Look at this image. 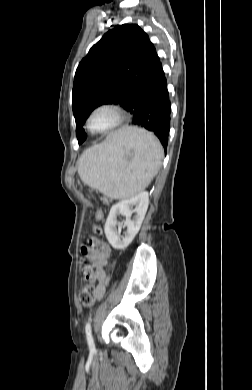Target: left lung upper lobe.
<instances>
[{"label":"left lung upper lobe","instance_id":"left-lung-upper-lobe-1","mask_svg":"<svg viewBox=\"0 0 252 390\" xmlns=\"http://www.w3.org/2000/svg\"><path fill=\"white\" fill-rule=\"evenodd\" d=\"M158 62L154 45L136 24L118 25L93 45L76 70L72 90L79 144L86 135L81 127L91 111L104 104L126 108Z\"/></svg>","mask_w":252,"mask_h":390}]
</instances>
